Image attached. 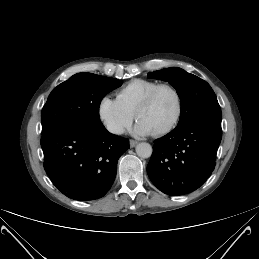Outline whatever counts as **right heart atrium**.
<instances>
[{"instance_id":"d8ad5b80","label":"right heart atrium","mask_w":259,"mask_h":259,"mask_svg":"<svg viewBox=\"0 0 259 259\" xmlns=\"http://www.w3.org/2000/svg\"><path fill=\"white\" fill-rule=\"evenodd\" d=\"M98 116L106 129L113 134L123 133L134 120V115L110 96H104L99 101Z\"/></svg>"}]
</instances>
